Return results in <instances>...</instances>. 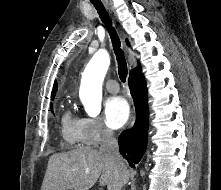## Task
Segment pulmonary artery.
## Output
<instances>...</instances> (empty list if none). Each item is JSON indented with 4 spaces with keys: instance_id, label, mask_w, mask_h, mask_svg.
Masks as SVG:
<instances>
[{
    "instance_id": "obj_1",
    "label": "pulmonary artery",
    "mask_w": 221,
    "mask_h": 190,
    "mask_svg": "<svg viewBox=\"0 0 221 190\" xmlns=\"http://www.w3.org/2000/svg\"><path fill=\"white\" fill-rule=\"evenodd\" d=\"M105 86L106 89L111 93H117L119 91V85L115 80H107Z\"/></svg>"
}]
</instances>
